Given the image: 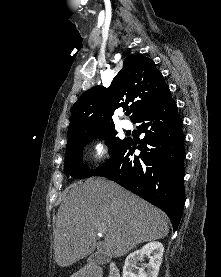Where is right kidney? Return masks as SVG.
<instances>
[{
	"label": "right kidney",
	"mask_w": 221,
	"mask_h": 277,
	"mask_svg": "<svg viewBox=\"0 0 221 277\" xmlns=\"http://www.w3.org/2000/svg\"><path fill=\"white\" fill-rule=\"evenodd\" d=\"M163 252L162 243L154 241L129 254L123 266V277H157L162 263ZM144 257H147L149 262L144 267H137L138 262L143 261ZM145 267L147 271L144 270Z\"/></svg>",
	"instance_id": "1"
}]
</instances>
